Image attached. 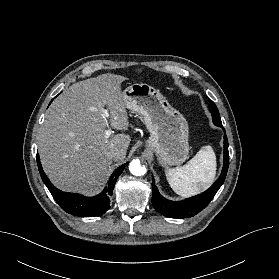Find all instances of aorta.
I'll list each match as a JSON object with an SVG mask.
<instances>
[{
  "mask_svg": "<svg viewBox=\"0 0 279 279\" xmlns=\"http://www.w3.org/2000/svg\"><path fill=\"white\" fill-rule=\"evenodd\" d=\"M129 170L135 176H142L146 173V168L140 165L139 160H133L129 165Z\"/></svg>",
  "mask_w": 279,
  "mask_h": 279,
  "instance_id": "762f6f07",
  "label": "aorta"
}]
</instances>
